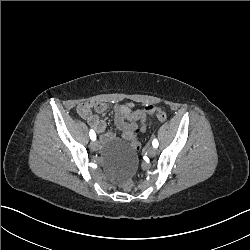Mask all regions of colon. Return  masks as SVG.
<instances>
[{"mask_svg":"<svg viewBox=\"0 0 250 250\" xmlns=\"http://www.w3.org/2000/svg\"><path fill=\"white\" fill-rule=\"evenodd\" d=\"M149 113L152 114V115H157L158 116V119L160 122H165L166 119H167V116L165 114V112L157 107V106H152L149 108ZM133 147L136 149V150H139L141 147H142V143L139 141V140H136L134 143H133ZM142 182V177L141 176H135L133 180L131 179H128V180H125L122 182L121 184V193L122 194H127V193H130L134 190H136L139 186V183Z\"/></svg>","mask_w":250,"mask_h":250,"instance_id":"colon-1","label":"colon"}]
</instances>
